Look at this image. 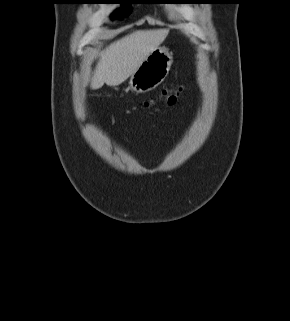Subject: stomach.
Instances as JSON below:
<instances>
[{"label": "stomach", "instance_id": "1", "mask_svg": "<svg viewBox=\"0 0 290 321\" xmlns=\"http://www.w3.org/2000/svg\"><path fill=\"white\" fill-rule=\"evenodd\" d=\"M172 57L164 47H157L130 76V87L136 93H146L161 84L169 73Z\"/></svg>", "mask_w": 290, "mask_h": 321}]
</instances>
